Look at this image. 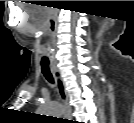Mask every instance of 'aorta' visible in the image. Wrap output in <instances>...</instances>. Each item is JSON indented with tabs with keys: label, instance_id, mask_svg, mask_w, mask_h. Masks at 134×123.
I'll list each match as a JSON object with an SVG mask.
<instances>
[{
	"label": "aorta",
	"instance_id": "1",
	"mask_svg": "<svg viewBox=\"0 0 134 123\" xmlns=\"http://www.w3.org/2000/svg\"><path fill=\"white\" fill-rule=\"evenodd\" d=\"M40 112L47 116H53L59 118V116L65 113V109L56 102L43 103L40 106Z\"/></svg>",
	"mask_w": 134,
	"mask_h": 123
}]
</instances>
